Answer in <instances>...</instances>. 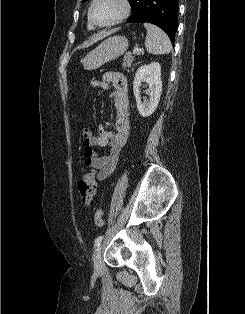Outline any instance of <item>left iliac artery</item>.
I'll return each mask as SVG.
<instances>
[{
	"label": "left iliac artery",
	"mask_w": 245,
	"mask_h": 314,
	"mask_svg": "<svg viewBox=\"0 0 245 314\" xmlns=\"http://www.w3.org/2000/svg\"><path fill=\"white\" fill-rule=\"evenodd\" d=\"M104 236L103 235H100L98 236L96 239H95V243H94V247H98L101 243V241L103 240Z\"/></svg>",
	"instance_id": "44dca946"
}]
</instances>
